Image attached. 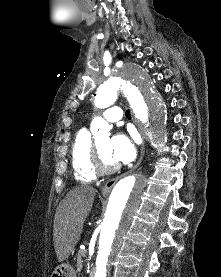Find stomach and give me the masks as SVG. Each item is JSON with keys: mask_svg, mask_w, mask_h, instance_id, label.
I'll list each match as a JSON object with an SVG mask.
<instances>
[{"mask_svg": "<svg viewBox=\"0 0 221 277\" xmlns=\"http://www.w3.org/2000/svg\"><path fill=\"white\" fill-rule=\"evenodd\" d=\"M51 277H76V271L69 263H63L55 268Z\"/></svg>", "mask_w": 221, "mask_h": 277, "instance_id": "0dacf381", "label": "stomach"}]
</instances>
